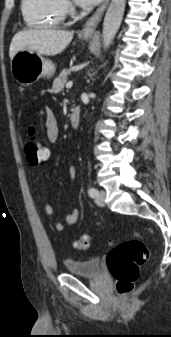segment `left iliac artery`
Listing matches in <instances>:
<instances>
[{"instance_id": "1", "label": "left iliac artery", "mask_w": 171, "mask_h": 337, "mask_svg": "<svg viewBox=\"0 0 171 337\" xmlns=\"http://www.w3.org/2000/svg\"><path fill=\"white\" fill-rule=\"evenodd\" d=\"M88 194H89L90 197L94 198L98 195V191H97V189L91 187L88 190Z\"/></svg>"}]
</instances>
